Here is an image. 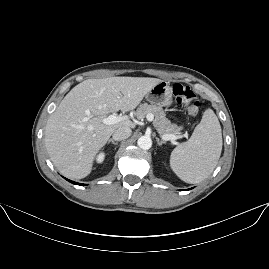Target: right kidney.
<instances>
[{
    "mask_svg": "<svg viewBox=\"0 0 269 269\" xmlns=\"http://www.w3.org/2000/svg\"><path fill=\"white\" fill-rule=\"evenodd\" d=\"M105 159V153L101 152L97 155L96 157V162L97 163H102Z\"/></svg>",
    "mask_w": 269,
    "mask_h": 269,
    "instance_id": "1",
    "label": "right kidney"
}]
</instances>
